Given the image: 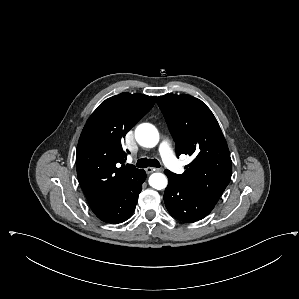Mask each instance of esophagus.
<instances>
[{"mask_svg":"<svg viewBox=\"0 0 299 299\" xmlns=\"http://www.w3.org/2000/svg\"><path fill=\"white\" fill-rule=\"evenodd\" d=\"M146 173L147 174H150V173H153V172H159V171H162V169L160 168H152V167H148L145 169Z\"/></svg>","mask_w":299,"mask_h":299,"instance_id":"1","label":"esophagus"}]
</instances>
